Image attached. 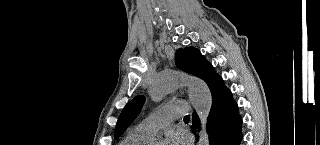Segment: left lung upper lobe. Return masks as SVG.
Masks as SVG:
<instances>
[{
	"mask_svg": "<svg viewBox=\"0 0 320 145\" xmlns=\"http://www.w3.org/2000/svg\"><path fill=\"white\" fill-rule=\"evenodd\" d=\"M175 63L181 70L198 77L202 69L208 63L200 51L193 47L178 49ZM145 98L136 96L122 110L115 129V138H118L139 114Z\"/></svg>",
	"mask_w": 320,
	"mask_h": 145,
	"instance_id": "left-lung-upper-lobe-1",
	"label": "left lung upper lobe"
}]
</instances>
